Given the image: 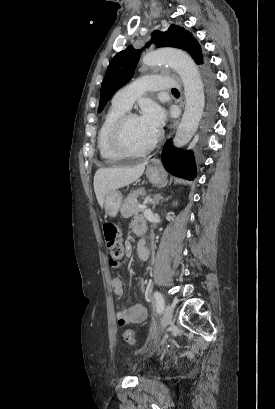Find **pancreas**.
Masks as SVG:
<instances>
[{"instance_id": "pancreas-1", "label": "pancreas", "mask_w": 275, "mask_h": 409, "mask_svg": "<svg viewBox=\"0 0 275 409\" xmlns=\"http://www.w3.org/2000/svg\"><path fill=\"white\" fill-rule=\"evenodd\" d=\"M145 192V188H137V190L128 194L121 207V215L124 219L132 217L134 213H139V211L143 213V209H138L139 202H137V196H139V194H145Z\"/></svg>"}]
</instances>
